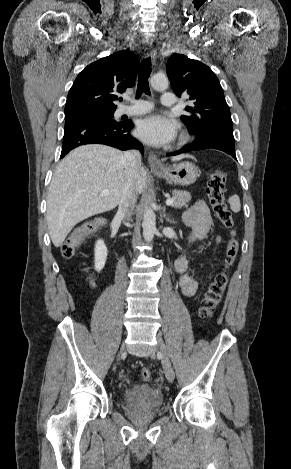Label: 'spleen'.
I'll return each instance as SVG.
<instances>
[{"label": "spleen", "instance_id": "1", "mask_svg": "<svg viewBox=\"0 0 291 469\" xmlns=\"http://www.w3.org/2000/svg\"><path fill=\"white\" fill-rule=\"evenodd\" d=\"M230 208L233 212H239L241 209L240 199L237 195L231 196L228 200Z\"/></svg>", "mask_w": 291, "mask_h": 469}]
</instances>
